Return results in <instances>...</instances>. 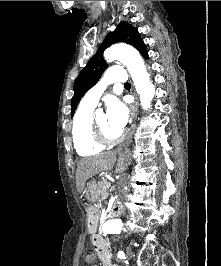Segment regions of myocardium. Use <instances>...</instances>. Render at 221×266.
I'll use <instances>...</instances> for the list:
<instances>
[{"instance_id":"1","label":"myocardium","mask_w":221,"mask_h":266,"mask_svg":"<svg viewBox=\"0 0 221 266\" xmlns=\"http://www.w3.org/2000/svg\"><path fill=\"white\" fill-rule=\"evenodd\" d=\"M92 132H93V136L94 139L100 143L103 146H109V145H114L119 143L123 137H124V132L120 131L118 135H116L115 137H109L107 136L104 131L101 129V127L99 126L96 116L92 117Z\"/></svg>"}]
</instances>
